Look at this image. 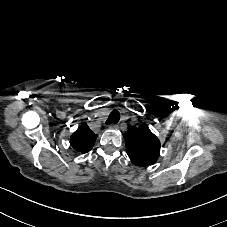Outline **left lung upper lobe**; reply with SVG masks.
Here are the masks:
<instances>
[{
	"mask_svg": "<svg viewBox=\"0 0 227 227\" xmlns=\"http://www.w3.org/2000/svg\"><path fill=\"white\" fill-rule=\"evenodd\" d=\"M127 154L136 166L152 164L160 153V141L146 124L130 127L124 134Z\"/></svg>",
	"mask_w": 227,
	"mask_h": 227,
	"instance_id": "obj_1",
	"label": "left lung upper lobe"
}]
</instances>
